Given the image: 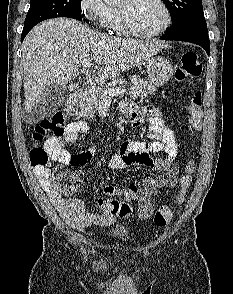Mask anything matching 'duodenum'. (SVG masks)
<instances>
[{"label":"duodenum","instance_id":"410a0bca","mask_svg":"<svg viewBox=\"0 0 233 294\" xmlns=\"http://www.w3.org/2000/svg\"><path fill=\"white\" fill-rule=\"evenodd\" d=\"M83 93L78 91L71 94L66 102V112L69 116L77 114L79 106L81 104Z\"/></svg>","mask_w":233,"mask_h":294}]
</instances>
